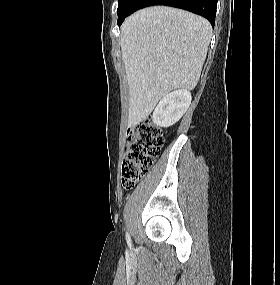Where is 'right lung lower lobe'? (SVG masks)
<instances>
[{"label": "right lung lower lobe", "mask_w": 280, "mask_h": 285, "mask_svg": "<svg viewBox=\"0 0 280 285\" xmlns=\"http://www.w3.org/2000/svg\"><path fill=\"white\" fill-rule=\"evenodd\" d=\"M166 5L181 8L201 15L209 20L211 25H215V15L217 0H137L131 13L148 6ZM124 19L117 21L120 26Z\"/></svg>", "instance_id": "98d812e1"}]
</instances>
